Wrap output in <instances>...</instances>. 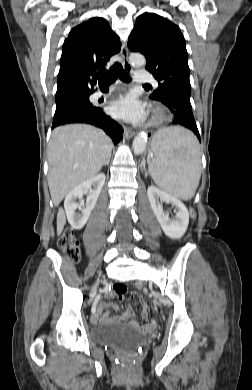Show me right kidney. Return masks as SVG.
<instances>
[{"label":"right kidney","mask_w":252,"mask_h":390,"mask_svg":"<svg viewBox=\"0 0 252 390\" xmlns=\"http://www.w3.org/2000/svg\"><path fill=\"white\" fill-rule=\"evenodd\" d=\"M105 174L100 173L93 178L81 183L67 194L64 201V208L68 222L71 227L80 230L87 223L91 211L94 209L97 199L105 183ZM87 195L86 205L78 204L77 199ZM81 213H77L76 210Z\"/></svg>","instance_id":"right-kidney-1"}]
</instances>
